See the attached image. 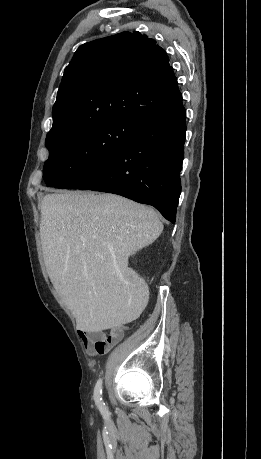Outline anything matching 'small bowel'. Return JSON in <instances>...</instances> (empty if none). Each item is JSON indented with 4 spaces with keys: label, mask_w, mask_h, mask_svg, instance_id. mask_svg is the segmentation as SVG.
I'll list each match as a JSON object with an SVG mask.
<instances>
[{
    "label": "small bowel",
    "mask_w": 261,
    "mask_h": 459,
    "mask_svg": "<svg viewBox=\"0 0 261 459\" xmlns=\"http://www.w3.org/2000/svg\"><path fill=\"white\" fill-rule=\"evenodd\" d=\"M83 341L85 350L89 355L103 354L119 343L124 336L122 329L111 330L106 333L104 329L86 325L78 331Z\"/></svg>",
    "instance_id": "c3829d8e"
}]
</instances>
